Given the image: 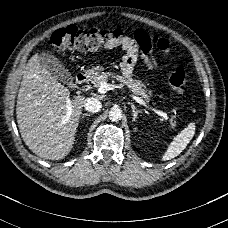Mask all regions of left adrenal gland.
I'll list each match as a JSON object with an SVG mask.
<instances>
[{
  "instance_id": "1",
  "label": "left adrenal gland",
  "mask_w": 228,
  "mask_h": 228,
  "mask_svg": "<svg viewBox=\"0 0 228 228\" xmlns=\"http://www.w3.org/2000/svg\"><path fill=\"white\" fill-rule=\"evenodd\" d=\"M129 104H130V106L132 107L133 116H134L133 121H134V123L136 124V123H137V120H138V115H139V114L141 115L142 112H139L138 110H136L134 104H132V103H129Z\"/></svg>"
}]
</instances>
